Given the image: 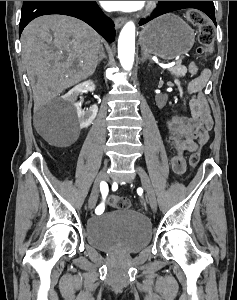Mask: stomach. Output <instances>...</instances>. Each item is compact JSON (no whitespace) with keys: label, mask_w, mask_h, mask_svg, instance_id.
I'll return each mask as SVG.
<instances>
[{"label":"stomach","mask_w":237,"mask_h":300,"mask_svg":"<svg viewBox=\"0 0 237 300\" xmlns=\"http://www.w3.org/2000/svg\"><path fill=\"white\" fill-rule=\"evenodd\" d=\"M141 49L161 59H177L189 53L195 43V33L177 15H162L147 23L139 33Z\"/></svg>","instance_id":"stomach-1"}]
</instances>
